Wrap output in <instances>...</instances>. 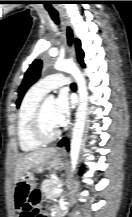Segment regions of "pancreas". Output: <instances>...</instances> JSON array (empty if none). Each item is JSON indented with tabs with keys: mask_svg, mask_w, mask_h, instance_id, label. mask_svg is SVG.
<instances>
[{
	"mask_svg": "<svg viewBox=\"0 0 132 217\" xmlns=\"http://www.w3.org/2000/svg\"><path fill=\"white\" fill-rule=\"evenodd\" d=\"M61 182L58 177L47 178L42 182L41 189L46 198L54 199L60 196V193H54V190L60 187Z\"/></svg>",
	"mask_w": 132,
	"mask_h": 217,
	"instance_id": "pancreas-1",
	"label": "pancreas"
}]
</instances>
